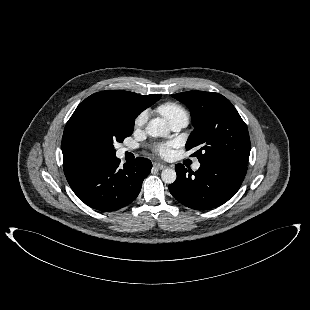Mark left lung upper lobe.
<instances>
[{
  "label": "left lung upper lobe",
  "mask_w": 310,
  "mask_h": 310,
  "mask_svg": "<svg viewBox=\"0 0 310 310\" xmlns=\"http://www.w3.org/2000/svg\"><path fill=\"white\" fill-rule=\"evenodd\" d=\"M172 96L191 112L194 130L186 149H198L191 156H196L200 163L228 161L247 165L251 148L248 129L228 99L203 91Z\"/></svg>",
  "instance_id": "left-lung-upper-lobe-1"
}]
</instances>
